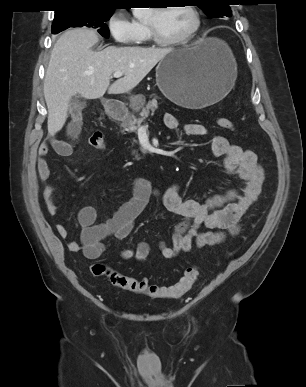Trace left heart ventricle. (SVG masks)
Segmentation results:
<instances>
[{
    "label": "left heart ventricle",
    "mask_w": 306,
    "mask_h": 387,
    "mask_svg": "<svg viewBox=\"0 0 306 387\" xmlns=\"http://www.w3.org/2000/svg\"><path fill=\"white\" fill-rule=\"evenodd\" d=\"M148 20L152 21L160 36L167 40L179 39L192 28V14L185 7H168L162 11L153 10Z\"/></svg>",
    "instance_id": "b2bd125f"
}]
</instances>
